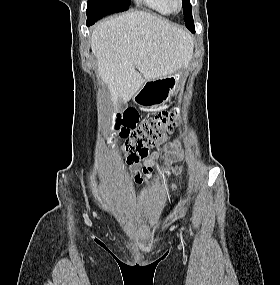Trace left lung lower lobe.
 <instances>
[{
	"mask_svg": "<svg viewBox=\"0 0 280 285\" xmlns=\"http://www.w3.org/2000/svg\"><path fill=\"white\" fill-rule=\"evenodd\" d=\"M191 32H195V30H194V28H191V30H190Z\"/></svg>",
	"mask_w": 280,
	"mask_h": 285,
	"instance_id": "1",
	"label": "left lung lower lobe"
}]
</instances>
